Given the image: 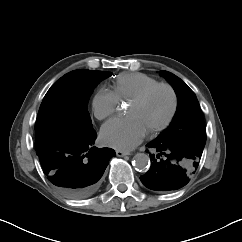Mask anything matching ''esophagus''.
Instances as JSON below:
<instances>
[{
  "instance_id": "1",
  "label": "esophagus",
  "mask_w": 242,
  "mask_h": 242,
  "mask_svg": "<svg viewBox=\"0 0 242 242\" xmlns=\"http://www.w3.org/2000/svg\"><path fill=\"white\" fill-rule=\"evenodd\" d=\"M116 155L118 157H124V156L130 155V153L129 152H125V151H121V150H117L116 151Z\"/></svg>"
}]
</instances>
